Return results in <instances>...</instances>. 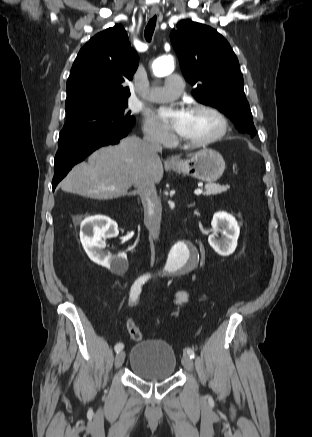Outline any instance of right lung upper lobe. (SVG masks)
<instances>
[{"label":"right lung upper lobe","mask_w":312,"mask_h":437,"mask_svg":"<svg viewBox=\"0 0 312 437\" xmlns=\"http://www.w3.org/2000/svg\"><path fill=\"white\" fill-rule=\"evenodd\" d=\"M139 57L131 48L121 25L108 28L79 51L67 80L66 107L83 102H121L130 96L129 87Z\"/></svg>","instance_id":"right-lung-upper-lobe-1"}]
</instances>
